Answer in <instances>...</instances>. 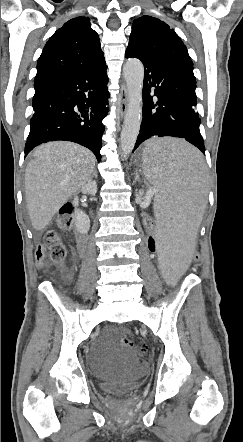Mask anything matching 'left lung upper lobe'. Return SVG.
Segmentation results:
<instances>
[{
    "instance_id": "obj_1",
    "label": "left lung upper lobe",
    "mask_w": 243,
    "mask_h": 442,
    "mask_svg": "<svg viewBox=\"0 0 243 442\" xmlns=\"http://www.w3.org/2000/svg\"><path fill=\"white\" fill-rule=\"evenodd\" d=\"M128 47L142 55L193 68L181 38L155 17L144 15L134 21Z\"/></svg>"
}]
</instances>
